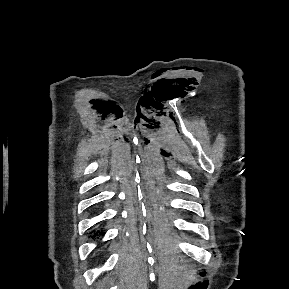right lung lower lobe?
<instances>
[{
    "label": "right lung lower lobe",
    "mask_w": 289,
    "mask_h": 289,
    "mask_svg": "<svg viewBox=\"0 0 289 289\" xmlns=\"http://www.w3.org/2000/svg\"><path fill=\"white\" fill-rule=\"evenodd\" d=\"M90 233H92V232H90ZM98 234H99V231L95 232L94 235H93V237H95V236L98 235Z\"/></svg>",
    "instance_id": "right-lung-lower-lobe-1"
}]
</instances>
